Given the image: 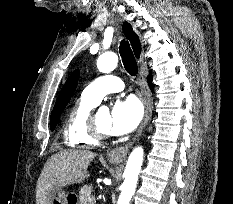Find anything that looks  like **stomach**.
Returning <instances> with one entry per match:
<instances>
[{
	"mask_svg": "<svg viewBox=\"0 0 233 204\" xmlns=\"http://www.w3.org/2000/svg\"><path fill=\"white\" fill-rule=\"evenodd\" d=\"M112 163H118L117 161L110 160ZM71 193H66L62 188L53 193V196L49 204H69L68 197Z\"/></svg>",
	"mask_w": 233,
	"mask_h": 204,
	"instance_id": "stomach-1",
	"label": "stomach"
}]
</instances>
